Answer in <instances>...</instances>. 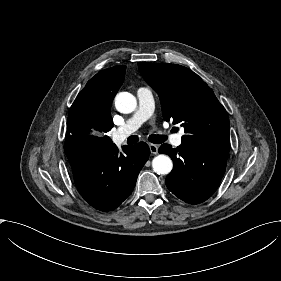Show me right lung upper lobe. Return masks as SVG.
<instances>
[{
  "instance_id": "right-lung-upper-lobe-1",
  "label": "right lung upper lobe",
  "mask_w": 281,
  "mask_h": 281,
  "mask_svg": "<svg viewBox=\"0 0 281 281\" xmlns=\"http://www.w3.org/2000/svg\"><path fill=\"white\" fill-rule=\"evenodd\" d=\"M125 70V65L108 68L87 82L69 110L67 141L81 137L110 140L103 135L113 127L110 108L124 81Z\"/></svg>"
}]
</instances>
